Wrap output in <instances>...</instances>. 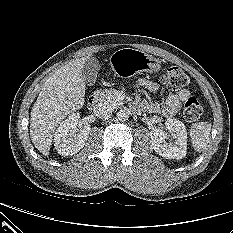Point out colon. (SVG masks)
<instances>
[{"instance_id": "1", "label": "colon", "mask_w": 233, "mask_h": 233, "mask_svg": "<svg viewBox=\"0 0 233 233\" xmlns=\"http://www.w3.org/2000/svg\"><path fill=\"white\" fill-rule=\"evenodd\" d=\"M161 81L169 89H181L189 84V77L187 74L177 66L166 67L161 75ZM203 112L200 102L190 97L186 100L183 107V117L189 122L197 121Z\"/></svg>"}]
</instances>
